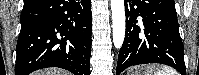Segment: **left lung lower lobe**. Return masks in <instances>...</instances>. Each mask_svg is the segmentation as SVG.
<instances>
[{"label": "left lung lower lobe", "instance_id": "0a47b994", "mask_svg": "<svg viewBox=\"0 0 199 75\" xmlns=\"http://www.w3.org/2000/svg\"><path fill=\"white\" fill-rule=\"evenodd\" d=\"M126 31L116 75L130 66L161 63L186 75L174 0H125Z\"/></svg>", "mask_w": 199, "mask_h": 75}]
</instances>
